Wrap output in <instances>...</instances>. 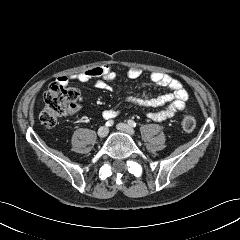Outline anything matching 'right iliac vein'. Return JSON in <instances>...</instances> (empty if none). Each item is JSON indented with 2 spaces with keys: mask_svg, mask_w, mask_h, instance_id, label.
Masks as SVG:
<instances>
[{
  "mask_svg": "<svg viewBox=\"0 0 240 240\" xmlns=\"http://www.w3.org/2000/svg\"><path fill=\"white\" fill-rule=\"evenodd\" d=\"M108 132H109L108 128L106 126H102L98 130V136L100 138H105L108 135Z\"/></svg>",
  "mask_w": 240,
  "mask_h": 240,
  "instance_id": "1",
  "label": "right iliac vein"
}]
</instances>
